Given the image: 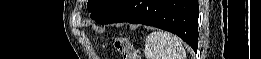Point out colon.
Instances as JSON below:
<instances>
[{"mask_svg": "<svg viewBox=\"0 0 261 59\" xmlns=\"http://www.w3.org/2000/svg\"><path fill=\"white\" fill-rule=\"evenodd\" d=\"M114 46L124 59L132 58V47L128 40L119 37L114 40Z\"/></svg>", "mask_w": 261, "mask_h": 59, "instance_id": "1", "label": "colon"}]
</instances>
